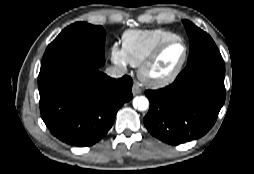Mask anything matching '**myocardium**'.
Masks as SVG:
<instances>
[{
	"instance_id": "myocardium-1",
	"label": "myocardium",
	"mask_w": 254,
	"mask_h": 174,
	"mask_svg": "<svg viewBox=\"0 0 254 174\" xmlns=\"http://www.w3.org/2000/svg\"><path fill=\"white\" fill-rule=\"evenodd\" d=\"M180 42L184 47V55L180 63L176 66L175 69H173L170 73L164 75V76H154L151 73V70L157 60L159 59L162 52L167 48L169 45ZM188 46L186 42L181 37H175L168 40H165L158 44L153 51L149 54V56L142 62V64L139 66L138 70V76L140 80L152 87H163L170 83H172L182 72L187 59H188Z\"/></svg>"
}]
</instances>
